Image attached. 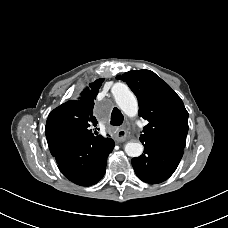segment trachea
Wrapping results in <instances>:
<instances>
[{
    "mask_svg": "<svg viewBox=\"0 0 228 228\" xmlns=\"http://www.w3.org/2000/svg\"><path fill=\"white\" fill-rule=\"evenodd\" d=\"M123 120H124L123 114L117 107H115L111 114L110 124L113 126H119L123 123Z\"/></svg>",
    "mask_w": 228,
    "mask_h": 228,
    "instance_id": "1",
    "label": "trachea"
}]
</instances>
